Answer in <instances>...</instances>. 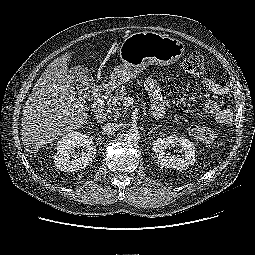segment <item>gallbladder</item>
Listing matches in <instances>:
<instances>
[{
	"label": "gallbladder",
	"instance_id": "gallbladder-1",
	"mask_svg": "<svg viewBox=\"0 0 255 255\" xmlns=\"http://www.w3.org/2000/svg\"><path fill=\"white\" fill-rule=\"evenodd\" d=\"M69 80L72 87L82 96L90 95L94 90L92 74L84 66H74L69 69Z\"/></svg>",
	"mask_w": 255,
	"mask_h": 255
}]
</instances>
